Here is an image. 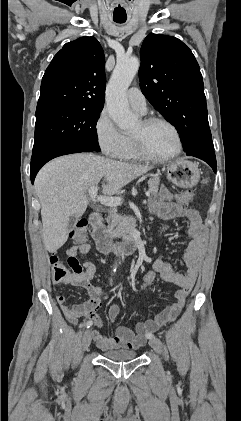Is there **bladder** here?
<instances>
[{"instance_id": "1", "label": "bladder", "mask_w": 241, "mask_h": 421, "mask_svg": "<svg viewBox=\"0 0 241 421\" xmlns=\"http://www.w3.org/2000/svg\"><path fill=\"white\" fill-rule=\"evenodd\" d=\"M102 356L112 361H130L137 357V353L129 350H111L103 352Z\"/></svg>"}]
</instances>
